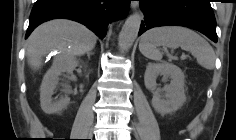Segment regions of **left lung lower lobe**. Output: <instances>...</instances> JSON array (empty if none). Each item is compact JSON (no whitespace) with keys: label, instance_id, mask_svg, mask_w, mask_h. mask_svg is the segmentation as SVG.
<instances>
[{"label":"left lung lower lobe","instance_id":"1","mask_svg":"<svg viewBox=\"0 0 236 140\" xmlns=\"http://www.w3.org/2000/svg\"><path fill=\"white\" fill-rule=\"evenodd\" d=\"M144 11L139 35L159 26H185L217 42L216 20L210 0H140Z\"/></svg>","mask_w":236,"mask_h":140}]
</instances>
